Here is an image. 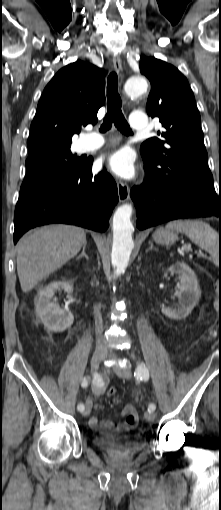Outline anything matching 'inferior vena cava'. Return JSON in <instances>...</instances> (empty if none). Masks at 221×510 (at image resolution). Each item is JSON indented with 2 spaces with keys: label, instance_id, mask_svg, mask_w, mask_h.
<instances>
[{
  "label": "inferior vena cava",
  "instance_id": "inferior-vena-cava-1",
  "mask_svg": "<svg viewBox=\"0 0 221 510\" xmlns=\"http://www.w3.org/2000/svg\"><path fill=\"white\" fill-rule=\"evenodd\" d=\"M94 319H95V331L97 336V342H96V350L101 352H106L107 348L105 345V342L102 339L101 333H102V317L100 313V308L95 306L94 307Z\"/></svg>",
  "mask_w": 221,
  "mask_h": 510
}]
</instances>
